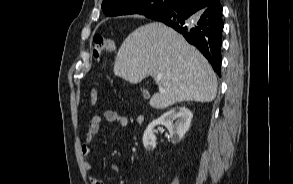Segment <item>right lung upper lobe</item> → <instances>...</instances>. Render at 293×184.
I'll list each match as a JSON object with an SVG mask.
<instances>
[{
  "instance_id": "right-lung-upper-lobe-1",
  "label": "right lung upper lobe",
  "mask_w": 293,
  "mask_h": 184,
  "mask_svg": "<svg viewBox=\"0 0 293 184\" xmlns=\"http://www.w3.org/2000/svg\"><path fill=\"white\" fill-rule=\"evenodd\" d=\"M164 1L165 8L173 4L176 0H103L102 10L106 16H118V15H127V14H142L148 18L147 12L153 4ZM204 3L205 7L212 5L219 0H199ZM162 9V10H163ZM161 10V11H162Z\"/></svg>"
}]
</instances>
